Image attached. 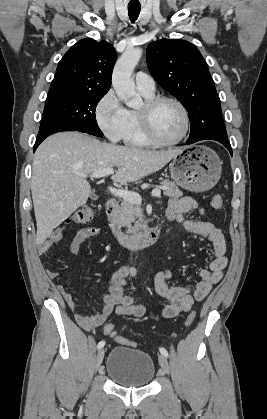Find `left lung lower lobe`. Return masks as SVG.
Returning <instances> with one entry per match:
<instances>
[{"instance_id":"left-lung-lower-lobe-1","label":"left lung lower lobe","mask_w":267,"mask_h":419,"mask_svg":"<svg viewBox=\"0 0 267 419\" xmlns=\"http://www.w3.org/2000/svg\"><path fill=\"white\" fill-rule=\"evenodd\" d=\"M214 132L210 128V126L206 122H202V124H197L196 127L192 128L190 131L189 138L187 139V144H192L194 142L211 139L220 142L223 144L232 155V148L230 142L228 141L227 135H223L222 137H216L213 135Z\"/></svg>"}]
</instances>
